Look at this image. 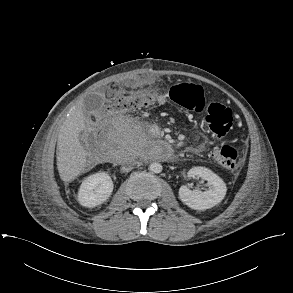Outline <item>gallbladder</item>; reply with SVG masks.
Segmentation results:
<instances>
[{
	"mask_svg": "<svg viewBox=\"0 0 293 293\" xmlns=\"http://www.w3.org/2000/svg\"><path fill=\"white\" fill-rule=\"evenodd\" d=\"M103 104V98L96 94H90L84 99L83 110L85 115L95 113Z\"/></svg>",
	"mask_w": 293,
	"mask_h": 293,
	"instance_id": "obj_1",
	"label": "gallbladder"
}]
</instances>
